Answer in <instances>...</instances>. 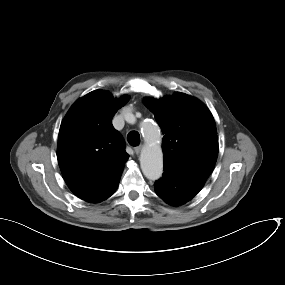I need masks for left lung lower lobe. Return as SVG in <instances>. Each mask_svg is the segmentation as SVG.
<instances>
[{
  "mask_svg": "<svg viewBox=\"0 0 285 285\" xmlns=\"http://www.w3.org/2000/svg\"><path fill=\"white\" fill-rule=\"evenodd\" d=\"M205 183L164 169L162 178L155 182L156 194L166 203L178 206L191 200Z\"/></svg>",
  "mask_w": 285,
  "mask_h": 285,
  "instance_id": "obj_1",
  "label": "left lung lower lobe"
}]
</instances>
